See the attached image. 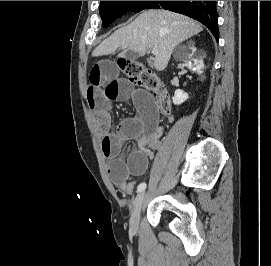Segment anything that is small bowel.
Returning <instances> with one entry per match:
<instances>
[{"instance_id":"obj_1","label":"small bowel","mask_w":271,"mask_h":266,"mask_svg":"<svg viewBox=\"0 0 271 266\" xmlns=\"http://www.w3.org/2000/svg\"><path fill=\"white\" fill-rule=\"evenodd\" d=\"M128 100L133 102L137 115L123 119L112 129L111 104ZM87 102L94 112L96 132L102 137L103 154L110 159L108 170L112 182L123 192L131 194L135 188L132 178L143 175L148 169L151 151L147 145L152 139L160 137L162 132L152 99L121 78L114 62L100 61L89 74ZM130 140L137 141V148L127 158H123L122 146Z\"/></svg>"}]
</instances>
